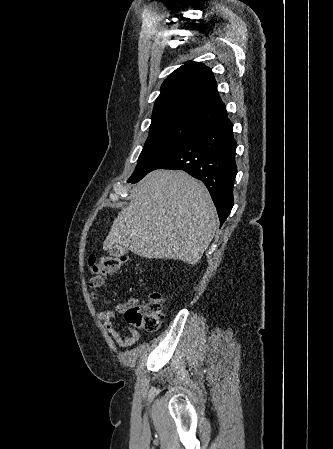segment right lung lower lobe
Masks as SVG:
<instances>
[{"label":"right lung lower lobe","mask_w":333,"mask_h":449,"mask_svg":"<svg viewBox=\"0 0 333 449\" xmlns=\"http://www.w3.org/2000/svg\"><path fill=\"white\" fill-rule=\"evenodd\" d=\"M232 128L233 124L228 117L209 125L169 153L151 170L179 169L201 180L210 192L221 225L233 207V184L237 174V144Z\"/></svg>","instance_id":"obj_1"}]
</instances>
